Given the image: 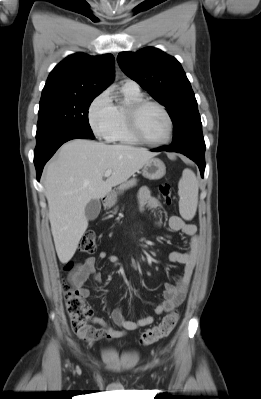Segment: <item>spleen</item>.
Wrapping results in <instances>:
<instances>
[{"instance_id": "1", "label": "spleen", "mask_w": 261, "mask_h": 399, "mask_svg": "<svg viewBox=\"0 0 261 399\" xmlns=\"http://www.w3.org/2000/svg\"><path fill=\"white\" fill-rule=\"evenodd\" d=\"M179 212L185 220H191L198 204V181L190 169H185L178 184Z\"/></svg>"}]
</instances>
